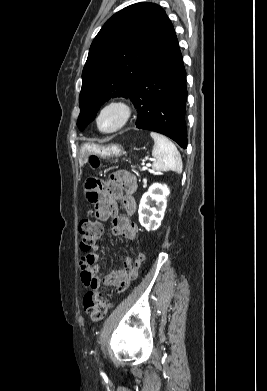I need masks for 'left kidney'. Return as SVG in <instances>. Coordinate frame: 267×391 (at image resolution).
Instances as JSON below:
<instances>
[{
	"instance_id": "1",
	"label": "left kidney",
	"mask_w": 267,
	"mask_h": 391,
	"mask_svg": "<svg viewBox=\"0 0 267 391\" xmlns=\"http://www.w3.org/2000/svg\"><path fill=\"white\" fill-rule=\"evenodd\" d=\"M169 189L166 185L154 183L143 194L138 214L139 222L146 230H156L160 227L167 205Z\"/></svg>"
}]
</instances>
